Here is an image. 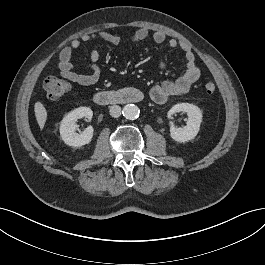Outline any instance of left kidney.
Returning <instances> with one entry per match:
<instances>
[{"label":"left kidney","mask_w":265,"mask_h":265,"mask_svg":"<svg viewBox=\"0 0 265 265\" xmlns=\"http://www.w3.org/2000/svg\"><path fill=\"white\" fill-rule=\"evenodd\" d=\"M183 112L188 116L186 126L175 127L171 123L170 135L171 138L177 142L184 143L188 142L196 137L200 130V124L202 122V112L201 110L190 103H179L174 105L168 112V117L170 118L173 114Z\"/></svg>","instance_id":"5707ae66"}]
</instances>
